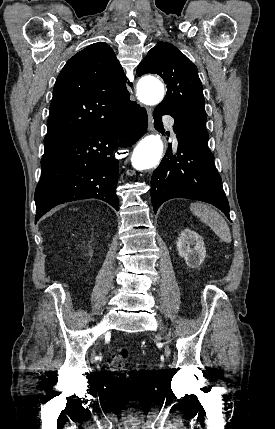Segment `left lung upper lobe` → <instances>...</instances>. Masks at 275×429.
<instances>
[{
    "instance_id": "5c2ea615",
    "label": "left lung upper lobe",
    "mask_w": 275,
    "mask_h": 429,
    "mask_svg": "<svg viewBox=\"0 0 275 429\" xmlns=\"http://www.w3.org/2000/svg\"><path fill=\"white\" fill-rule=\"evenodd\" d=\"M160 75L167 84V95L158 107L175 120L189 124L205 135L207 115L197 67L175 46L158 42L137 68V75Z\"/></svg>"
}]
</instances>
